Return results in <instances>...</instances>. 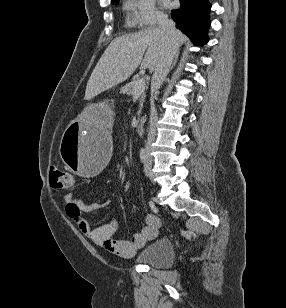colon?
I'll return each mask as SVG.
<instances>
[{
	"instance_id": "5ec220e1",
	"label": "colon",
	"mask_w": 286,
	"mask_h": 308,
	"mask_svg": "<svg viewBox=\"0 0 286 308\" xmlns=\"http://www.w3.org/2000/svg\"><path fill=\"white\" fill-rule=\"evenodd\" d=\"M50 183L55 190L71 191L75 187V178L71 172L55 168L50 171Z\"/></svg>"
}]
</instances>
